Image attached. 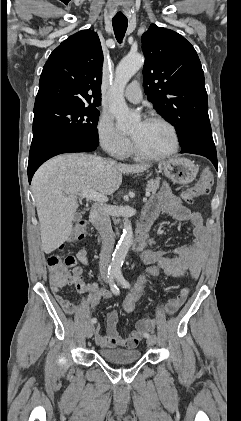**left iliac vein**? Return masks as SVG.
I'll return each instance as SVG.
<instances>
[{
	"instance_id": "1",
	"label": "left iliac vein",
	"mask_w": 241,
	"mask_h": 421,
	"mask_svg": "<svg viewBox=\"0 0 241 421\" xmlns=\"http://www.w3.org/2000/svg\"><path fill=\"white\" fill-rule=\"evenodd\" d=\"M155 344H156V336L155 335L149 336V338H147V345L153 346Z\"/></svg>"
}]
</instances>
